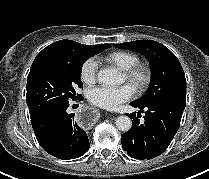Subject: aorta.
I'll use <instances>...</instances> for the list:
<instances>
[{
    "instance_id": "762f6f07",
    "label": "aorta",
    "mask_w": 209,
    "mask_h": 179,
    "mask_svg": "<svg viewBox=\"0 0 209 179\" xmlns=\"http://www.w3.org/2000/svg\"><path fill=\"white\" fill-rule=\"evenodd\" d=\"M97 80L105 86H113L121 83V78L114 69H101L97 74ZM116 127L123 132L129 131L132 127V121L128 116H119L116 119Z\"/></svg>"
}]
</instances>
